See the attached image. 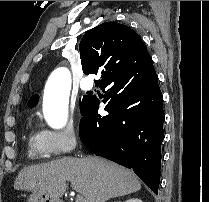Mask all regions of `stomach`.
<instances>
[{"instance_id": "1", "label": "stomach", "mask_w": 209, "mask_h": 202, "mask_svg": "<svg viewBox=\"0 0 209 202\" xmlns=\"http://www.w3.org/2000/svg\"><path fill=\"white\" fill-rule=\"evenodd\" d=\"M27 202H61L59 199L50 198L43 194L32 193L29 195Z\"/></svg>"}]
</instances>
